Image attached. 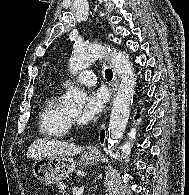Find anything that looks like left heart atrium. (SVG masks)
Masks as SVG:
<instances>
[{
    "instance_id": "left-heart-atrium-1",
    "label": "left heart atrium",
    "mask_w": 189,
    "mask_h": 195,
    "mask_svg": "<svg viewBox=\"0 0 189 195\" xmlns=\"http://www.w3.org/2000/svg\"><path fill=\"white\" fill-rule=\"evenodd\" d=\"M108 100L106 89L99 88L92 90L87 98L83 110L78 115V121L81 124L93 122L102 112Z\"/></svg>"
}]
</instances>
